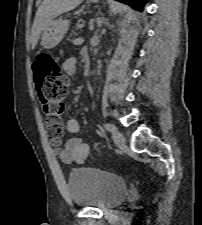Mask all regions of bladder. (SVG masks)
<instances>
[{"label": "bladder", "instance_id": "bladder-1", "mask_svg": "<svg viewBox=\"0 0 202 225\" xmlns=\"http://www.w3.org/2000/svg\"><path fill=\"white\" fill-rule=\"evenodd\" d=\"M67 190L75 206L109 210L125 200L128 185L117 174L80 167L68 174Z\"/></svg>", "mask_w": 202, "mask_h": 225}]
</instances>
